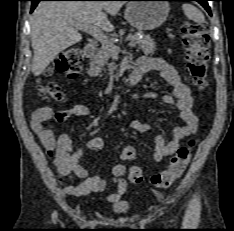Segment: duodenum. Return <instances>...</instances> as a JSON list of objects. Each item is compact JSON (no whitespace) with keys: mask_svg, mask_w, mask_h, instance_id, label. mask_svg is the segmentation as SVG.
Listing matches in <instances>:
<instances>
[{"mask_svg":"<svg viewBox=\"0 0 234 231\" xmlns=\"http://www.w3.org/2000/svg\"><path fill=\"white\" fill-rule=\"evenodd\" d=\"M95 51H96V44L93 42H90L85 45L83 49V54L85 57L89 58L94 55ZM148 70L149 68L147 66L136 64L135 68L133 69V71L131 72L128 78L127 86L128 87L136 86L140 82L143 74L147 72Z\"/></svg>","mask_w":234,"mask_h":231,"instance_id":"410a0bca","label":"duodenum"}]
</instances>
